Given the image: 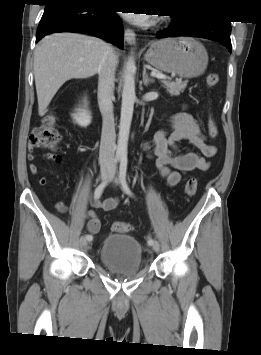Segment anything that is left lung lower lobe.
Here are the masks:
<instances>
[{
  "mask_svg": "<svg viewBox=\"0 0 261 355\" xmlns=\"http://www.w3.org/2000/svg\"><path fill=\"white\" fill-rule=\"evenodd\" d=\"M174 19L166 31L157 33V38L192 36L222 43L231 52V24L225 19L171 16Z\"/></svg>",
  "mask_w": 261,
  "mask_h": 355,
  "instance_id": "1",
  "label": "left lung lower lobe"
}]
</instances>
